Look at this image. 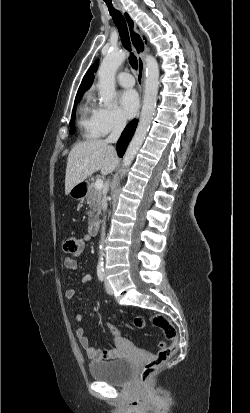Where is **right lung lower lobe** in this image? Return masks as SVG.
I'll use <instances>...</instances> for the list:
<instances>
[{
  "instance_id": "98d812e1",
  "label": "right lung lower lobe",
  "mask_w": 250,
  "mask_h": 413,
  "mask_svg": "<svg viewBox=\"0 0 250 413\" xmlns=\"http://www.w3.org/2000/svg\"><path fill=\"white\" fill-rule=\"evenodd\" d=\"M137 123H138V120L133 119L125 127L124 131L122 132V134H121V136H120V138L117 142V145H116V149H117L118 155L120 157H122L124 155V153L126 151V148L128 146V143L130 142V140H131V138H132V136L135 132V129L137 127Z\"/></svg>"
}]
</instances>
